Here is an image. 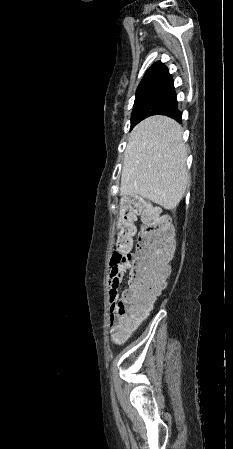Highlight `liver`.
<instances>
[{
	"instance_id": "6515ba94",
	"label": "liver",
	"mask_w": 233,
	"mask_h": 449,
	"mask_svg": "<svg viewBox=\"0 0 233 449\" xmlns=\"http://www.w3.org/2000/svg\"><path fill=\"white\" fill-rule=\"evenodd\" d=\"M182 127L161 115L134 127L128 138L120 194L139 195L166 210L174 209L190 183Z\"/></svg>"
}]
</instances>
